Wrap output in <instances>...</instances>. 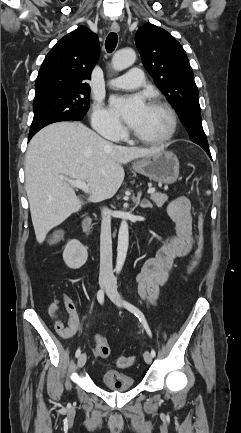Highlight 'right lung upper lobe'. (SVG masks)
Instances as JSON below:
<instances>
[{
	"label": "right lung upper lobe",
	"mask_w": 241,
	"mask_h": 433,
	"mask_svg": "<svg viewBox=\"0 0 241 433\" xmlns=\"http://www.w3.org/2000/svg\"><path fill=\"white\" fill-rule=\"evenodd\" d=\"M95 33L84 26L64 36L45 57L35 82V97L55 93H89L85 81L99 57Z\"/></svg>",
	"instance_id": "1"
}]
</instances>
